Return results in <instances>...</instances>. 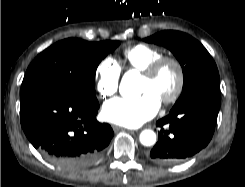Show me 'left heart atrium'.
I'll return each mask as SVG.
<instances>
[{
	"label": "left heart atrium",
	"instance_id": "1",
	"mask_svg": "<svg viewBox=\"0 0 245 187\" xmlns=\"http://www.w3.org/2000/svg\"><path fill=\"white\" fill-rule=\"evenodd\" d=\"M160 106V98L154 92L146 91L134 100L119 98L107 102L102 115L108 122L134 128L153 118Z\"/></svg>",
	"mask_w": 245,
	"mask_h": 187
}]
</instances>
